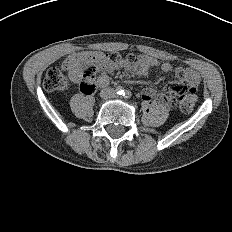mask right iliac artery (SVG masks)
<instances>
[{
    "instance_id": "1",
    "label": "right iliac artery",
    "mask_w": 232,
    "mask_h": 232,
    "mask_svg": "<svg viewBox=\"0 0 232 232\" xmlns=\"http://www.w3.org/2000/svg\"><path fill=\"white\" fill-rule=\"evenodd\" d=\"M116 92H117L118 95H123L124 94V90H123V88L121 86H118L116 88Z\"/></svg>"
}]
</instances>
